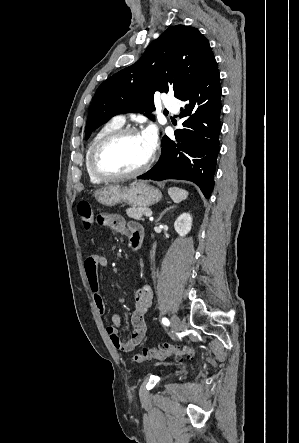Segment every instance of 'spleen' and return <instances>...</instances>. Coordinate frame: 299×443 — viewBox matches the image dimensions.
Returning a JSON list of instances; mask_svg holds the SVG:
<instances>
[{
	"label": "spleen",
	"instance_id": "spleen-1",
	"mask_svg": "<svg viewBox=\"0 0 299 443\" xmlns=\"http://www.w3.org/2000/svg\"><path fill=\"white\" fill-rule=\"evenodd\" d=\"M168 193L172 198L173 202L180 203L185 200L188 196V192L184 189L178 187H171L168 189Z\"/></svg>",
	"mask_w": 299,
	"mask_h": 443
}]
</instances>
